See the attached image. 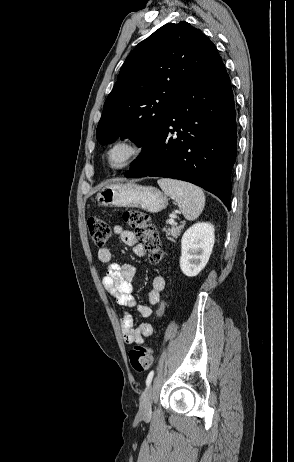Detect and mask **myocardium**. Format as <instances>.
Listing matches in <instances>:
<instances>
[{"label":"myocardium","instance_id":"myocardium-1","mask_svg":"<svg viewBox=\"0 0 294 462\" xmlns=\"http://www.w3.org/2000/svg\"><path fill=\"white\" fill-rule=\"evenodd\" d=\"M118 147H125L128 151L126 157L119 163L111 161V155ZM146 147L143 141L134 135H122L110 142L103 151V163L111 171H120L132 166L145 153Z\"/></svg>","mask_w":294,"mask_h":462}]
</instances>
